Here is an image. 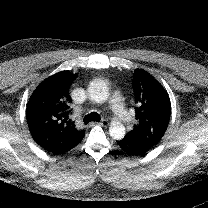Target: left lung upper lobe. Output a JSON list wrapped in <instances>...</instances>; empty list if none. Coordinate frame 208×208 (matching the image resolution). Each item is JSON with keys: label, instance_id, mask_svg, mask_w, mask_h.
Returning <instances> with one entry per match:
<instances>
[{"label": "left lung upper lobe", "instance_id": "5c2ea615", "mask_svg": "<svg viewBox=\"0 0 208 208\" xmlns=\"http://www.w3.org/2000/svg\"><path fill=\"white\" fill-rule=\"evenodd\" d=\"M136 124L126 138L155 147L168 127L171 104L163 86L149 73L136 69L133 76Z\"/></svg>", "mask_w": 208, "mask_h": 208}]
</instances>
